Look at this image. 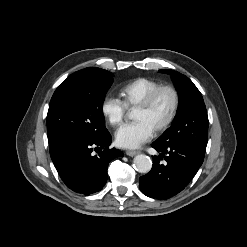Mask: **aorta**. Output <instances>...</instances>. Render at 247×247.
Wrapping results in <instances>:
<instances>
[{
	"mask_svg": "<svg viewBox=\"0 0 247 247\" xmlns=\"http://www.w3.org/2000/svg\"><path fill=\"white\" fill-rule=\"evenodd\" d=\"M134 167L140 173H148L152 168V161L149 156L144 154L137 155L134 158Z\"/></svg>",
	"mask_w": 247,
	"mask_h": 247,
	"instance_id": "obj_1",
	"label": "aorta"
}]
</instances>
